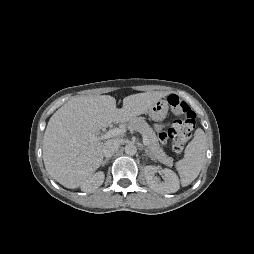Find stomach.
I'll list each match as a JSON object with an SVG mask.
<instances>
[{
	"label": "stomach",
	"instance_id": "1",
	"mask_svg": "<svg viewBox=\"0 0 254 254\" xmlns=\"http://www.w3.org/2000/svg\"><path fill=\"white\" fill-rule=\"evenodd\" d=\"M168 108V102L166 100H158L149 108L148 114L152 120L162 122L167 116Z\"/></svg>",
	"mask_w": 254,
	"mask_h": 254
}]
</instances>
